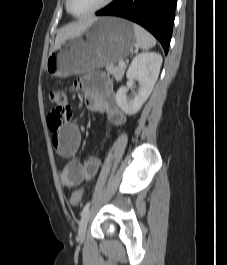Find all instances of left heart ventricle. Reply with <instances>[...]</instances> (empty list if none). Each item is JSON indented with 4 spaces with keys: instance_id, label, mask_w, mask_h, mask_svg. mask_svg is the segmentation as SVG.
I'll use <instances>...</instances> for the list:
<instances>
[{
    "instance_id": "1",
    "label": "left heart ventricle",
    "mask_w": 227,
    "mask_h": 265,
    "mask_svg": "<svg viewBox=\"0 0 227 265\" xmlns=\"http://www.w3.org/2000/svg\"><path fill=\"white\" fill-rule=\"evenodd\" d=\"M102 1L103 0H70V9L75 14H83L98 6Z\"/></svg>"
}]
</instances>
